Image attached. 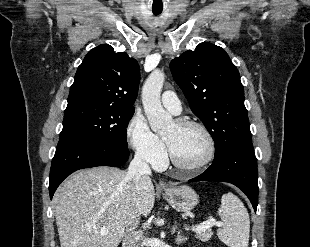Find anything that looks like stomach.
<instances>
[{"label":"stomach","instance_id":"stomach-1","mask_svg":"<svg viewBox=\"0 0 310 247\" xmlns=\"http://www.w3.org/2000/svg\"><path fill=\"white\" fill-rule=\"evenodd\" d=\"M163 196L167 202L179 212H189L198 203L196 192L185 185L164 190Z\"/></svg>","mask_w":310,"mask_h":247}]
</instances>
